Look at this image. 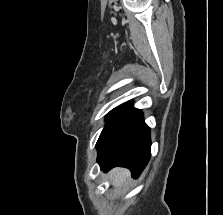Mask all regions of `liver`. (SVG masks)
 I'll list each match as a JSON object with an SVG mask.
<instances>
[{
    "instance_id": "liver-1",
    "label": "liver",
    "mask_w": 223,
    "mask_h": 215,
    "mask_svg": "<svg viewBox=\"0 0 223 215\" xmlns=\"http://www.w3.org/2000/svg\"><path fill=\"white\" fill-rule=\"evenodd\" d=\"M111 181L115 187L118 185H123L124 181H126L127 177H130L129 169H124V167H115L110 171Z\"/></svg>"
}]
</instances>
